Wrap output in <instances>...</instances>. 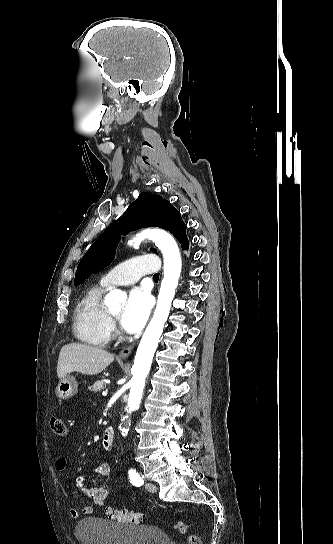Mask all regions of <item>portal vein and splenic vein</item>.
<instances>
[{
  "label": "portal vein and splenic vein",
  "mask_w": 333,
  "mask_h": 544,
  "mask_svg": "<svg viewBox=\"0 0 333 544\" xmlns=\"http://www.w3.org/2000/svg\"><path fill=\"white\" fill-rule=\"evenodd\" d=\"M102 396H104V397L107 396V392H103Z\"/></svg>",
  "instance_id": "1"
}]
</instances>
